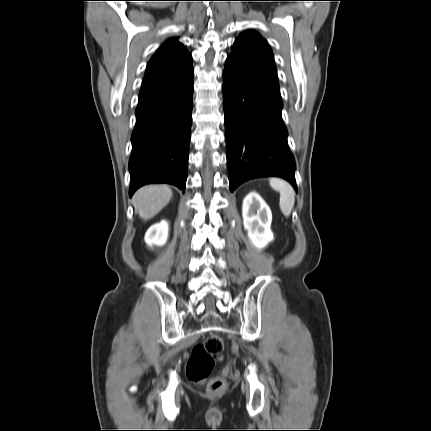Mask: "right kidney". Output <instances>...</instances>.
Returning <instances> with one entry per match:
<instances>
[{"mask_svg":"<svg viewBox=\"0 0 431 431\" xmlns=\"http://www.w3.org/2000/svg\"><path fill=\"white\" fill-rule=\"evenodd\" d=\"M169 225L166 220H162L160 223L152 225L145 234V242L148 246L152 247L163 246L166 244L168 239Z\"/></svg>","mask_w":431,"mask_h":431,"instance_id":"1","label":"right kidney"}]
</instances>
